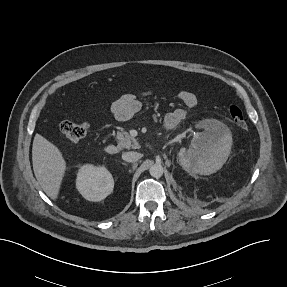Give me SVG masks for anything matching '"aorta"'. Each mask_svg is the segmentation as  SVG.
<instances>
[{
  "instance_id": "762f6f07",
  "label": "aorta",
  "mask_w": 287,
  "mask_h": 287,
  "mask_svg": "<svg viewBox=\"0 0 287 287\" xmlns=\"http://www.w3.org/2000/svg\"><path fill=\"white\" fill-rule=\"evenodd\" d=\"M150 175L154 178H160L163 175V166L159 163L153 164L149 169Z\"/></svg>"
}]
</instances>
